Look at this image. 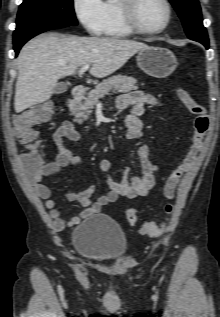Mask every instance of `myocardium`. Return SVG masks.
Listing matches in <instances>:
<instances>
[{"mask_svg":"<svg viewBox=\"0 0 220 317\" xmlns=\"http://www.w3.org/2000/svg\"><path fill=\"white\" fill-rule=\"evenodd\" d=\"M141 0H119L118 9L125 26L138 35H157L164 32L170 25L173 18V8L169 0H162L167 10V17L164 24L157 29L143 28L137 19V10Z\"/></svg>","mask_w":220,"mask_h":317,"instance_id":"myocardium-1","label":"myocardium"}]
</instances>
